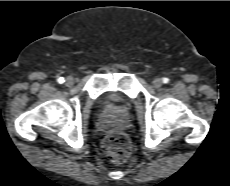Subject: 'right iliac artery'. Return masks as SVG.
Wrapping results in <instances>:
<instances>
[{"label":"right iliac artery","instance_id":"obj_1","mask_svg":"<svg viewBox=\"0 0 230 186\" xmlns=\"http://www.w3.org/2000/svg\"><path fill=\"white\" fill-rule=\"evenodd\" d=\"M58 83L62 84L65 82L64 78L63 77H60L57 79Z\"/></svg>","mask_w":230,"mask_h":186}]
</instances>
